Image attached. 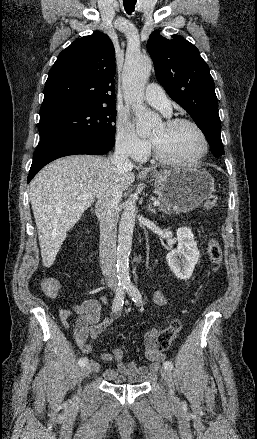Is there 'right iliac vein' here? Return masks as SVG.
Segmentation results:
<instances>
[{
    "label": "right iliac vein",
    "instance_id": "right-iliac-vein-1",
    "mask_svg": "<svg viewBox=\"0 0 257 439\" xmlns=\"http://www.w3.org/2000/svg\"><path fill=\"white\" fill-rule=\"evenodd\" d=\"M90 372H91L90 364H86L85 366H82L80 370V379L86 378Z\"/></svg>",
    "mask_w": 257,
    "mask_h": 439
}]
</instances>
